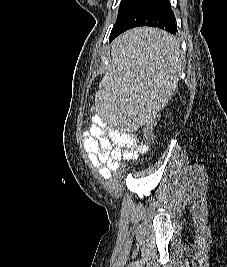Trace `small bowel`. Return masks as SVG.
I'll use <instances>...</instances> for the list:
<instances>
[{
    "mask_svg": "<svg viewBox=\"0 0 227 267\" xmlns=\"http://www.w3.org/2000/svg\"><path fill=\"white\" fill-rule=\"evenodd\" d=\"M131 133L106 131L100 117H95L90 128L84 132L83 146L90 164L99 168V174L108 179L110 172L117 169L126 155H140L148 151Z\"/></svg>",
    "mask_w": 227,
    "mask_h": 267,
    "instance_id": "obj_1",
    "label": "small bowel"
}]
</instances>
